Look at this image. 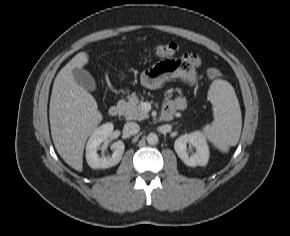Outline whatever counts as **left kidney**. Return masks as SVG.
Instances as JSON below:
<instances>
[{
	"instance_id": "obj_1",
	"label": "left kidney",
	"mask_w": 290,
	"mask_h": 236,
	"mask_svg": "<svg viewBox=\"0 0 290 236\" xmlns=\"http://www.w3.org/2000/svg\"><path fill=\"white\" fill-rule=\"evenodd\" d=\"M187 144H191L195 148V153L191 155L187 152ZM174 149L178 157L191 167L205 166L209 160V146L205 136L200 131L190 134L181 135L174 143Z\"/></svg>"
}]
</instances>
